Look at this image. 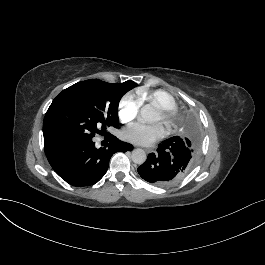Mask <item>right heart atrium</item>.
I'll list each match as a JSON object with an SVG mask.
<instances>
[{"label": "right heart atrium", "instance_id": "right-heart-atrium-1", "mask_svg": "<svg viewBox=\"0 0 265 265\" xmlns=\"http://www.w3.org/2000/svg\"><path fill=\"white\" fill-rule=\"evenodd\" d=\"M142 102L139 97L128 93L126 94L119 105V118L123 123H129L138 115Z\"/></svg>", "mask_w": 265, "mask_h": 265}]
</instances>
